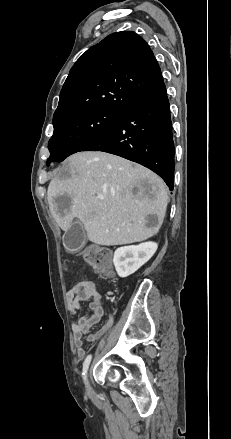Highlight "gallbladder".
<instances>
[{
  "mask_svg": "<svg viewBox=\"0 0 231 439\" xmlns=\"http://www.w3.org/2000/svg\"><path fill=\"white\" fill-rule=\"evenodd\" d=\"M63 242L67 250L79 251L86 243V233L81 222L75 221L65 232Z\"/></svg>",
  "mask_w": 231,
  "mask_h": 439,
  "instance_id": "obj_1",
  "label": "gallbladder"
}]
</instances>
